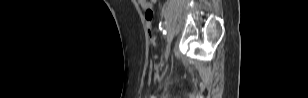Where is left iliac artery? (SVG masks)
Instances as JSON below:
<instances>
[{"label": "left iliac artery", "instance_id": "left-iliac-artery-1", "mask_svg": "<svg viewBox=\"0 0 308 98\" xmlns=\"http://www.w3.org/2000/svg\"><path fill=\"white\" fill-rule=\"evenodd\" d=\"M159 28L164 34H166V24L165 23L163 24L160 23Z\"/></svg>", "mask_w": 308, "mask_h": 98}]
</instances>
